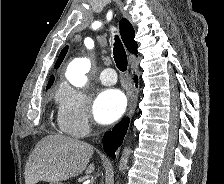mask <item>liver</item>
Returning <instances> with one entry per match:
<instances>
[{
    "instance_id": "obj_1",
    "label": "liver",
    "mask_w": 224,
    "mask_h": 184,
    "mask_svg": "<svg viewBox=\"0 0 224 184\" xmlns=\"http://www.w3.org/2000/svg\"><path fill=\"white\" fill-rule=\"evenodd\" d=\"M93 146L84 141L63 135H49L41 139L25 166V184L39 181L56 182L76 177L86 170L94 171V164L88 162Z\"/></svg>"
}]
</instances>
